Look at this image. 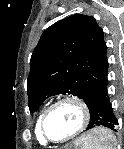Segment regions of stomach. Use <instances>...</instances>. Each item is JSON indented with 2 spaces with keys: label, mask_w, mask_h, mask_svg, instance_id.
<instances>
[{
  "label": "stomach",
  "mask_w": 124,
  "mask_h": 149,
  "mask_svg": "<svg viewBox=\"0 0 124 149\" xmlns=\"http://www.w3.org/2000/svg\"><path fill=\"white\" fill-rule=\"evenodd\" d=\"M98 129H93L88 132L84 136H82L79 140H77L73 145H70L66 149H84V140L87 138H91L97 134Z\"/></svg>",
  "instance_id": "obj_1"
}]
</instances>
